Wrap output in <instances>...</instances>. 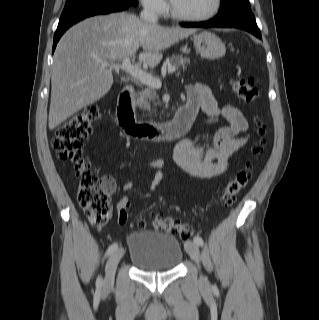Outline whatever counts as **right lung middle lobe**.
Returning <instances> with one entry per match:
<instances>
[{
    "label": "right lung middle lobe",
    "mask_w": 319,
    "mask_h": 320,
    "mask_svg": "<svg viewBox=\"0 0 319 320\" xmlns=\"http://www.w3.org/2000/svg\"><path fill=\"white\" fill-rule=\"evenodd\" d=\"M110 2L138 4V0H66L60 20L86 8Z\"/></svg>",
    "instance_id": "right-lung-middle-lobe-1"
}]
</instances>
